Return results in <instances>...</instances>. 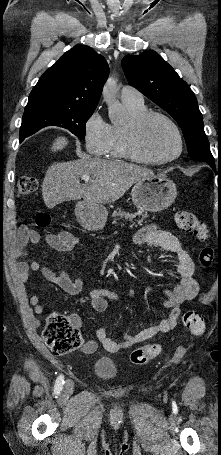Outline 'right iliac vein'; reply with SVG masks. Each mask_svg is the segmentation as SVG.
I'll list each match as a JSON object with an SVG mask.
<instances>
[{"label":"right iliac vein","mask_w":221,"mask_h":455,"mask_svg":"<svg viewBox=\"0 0 221 455\" xmlns=\"http://www.w3.org/2000/svg\"><path fill=\"white\" fill-rule=\"evenodd\" d=\"M74 389V384L71 380L66 381L64 385V390H63V396H67L73 392Z\"/></svg>","instance_id":"1"}]
</instances>
